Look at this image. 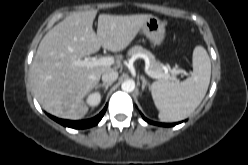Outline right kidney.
I'll return each instance as SVG.
<instances>
[{"label":"right kidney","mask_w":248,"mask_h":165,"mask_svg":"<svg viewBox=\"0 0 248 165\" xmlns=\"http://www.w3.org/2000/svg\"><path fill=\"white\" fill-rule=\"evenodd\" d=\"M101 101V95L98 92L92 93L87 98V104L91 107H96Z\"/></svg>","instance_id":"obj_1"}]
</instances>
